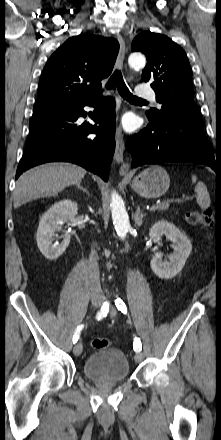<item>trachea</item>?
<instances>
[{"instance_id": "trachea-1", "label": "trachea", "mask_w": 221, "mask_h": 440, "mask_svg": "<svg viewBox=\"0 0 221 440\" xmlns=\"http://www.w3.org/2000/svg\"><path fill=\"white\" fill-rule=\"evenodd\" d=\"M107 89H115L117 87L121 97L129 102H146L136 96H134L126 86L122 73L119 70H115L108 83L106 84Z\"/></svg>"}]
</instances>
